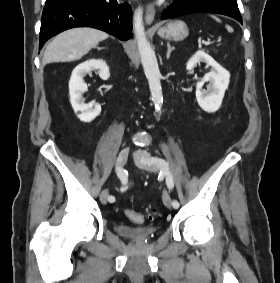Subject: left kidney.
I'll use <instances>...</instances> for the list:
<instances>
[{
	"label": "left kidney",
	"mask_w": 280,
	"mask_h": 283,
	"mask_svg": "<svg viewBox=\"0 0 280 283\" xmlns=\"http://www.w3.org/2000/svg\"><path fill=\"white\" fill-rule=\"evenodd\" d=\"M200 62H205L211 66V71L196 83V99L204 111L212 113L221 107L225 91L229 85L230 73L201 50L189 59L186 69L192 72L195 65ZM205 82L209 83L206 90L203 89Z\"/></svg>",
	"instance_id": "1"
}]
</instances>
